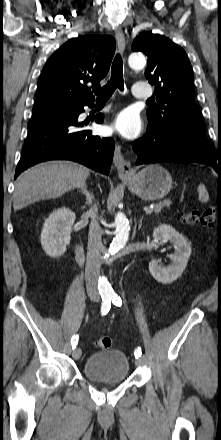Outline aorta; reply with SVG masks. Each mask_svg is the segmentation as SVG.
<instances>
[{
    "mask_svg": "<svg viewBox=\"0 0 221 440\" xmlns=\"http://www.w3.org/2000/svg\"><path fill=\"white\" fill-rule=\"evenodd\" d=\"M128 63L133 69H142L146 65V58L141 53H132L128 58ZM114 224L116 227L115 237L110 245L109 253L118 251L127 243L129 237L130 226L128 219L123 213L119 212L116 214ZM99 286L102 291H111V285L104 276L100 277Z\"/></svg>",
    "mask_w": 221,
    "mask_h": 440,
    "instance_id": "762f6f07",
    "label": "aorta"
}]
</instances>
